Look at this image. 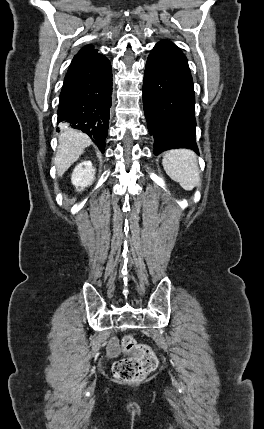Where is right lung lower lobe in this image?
<instances>
[{
    "label": "right lung lower lobe",
    "instance_id": "98d812e1",
    "mask_svg": "<svg viewBox=\"0 0 264 429\" xmlns=\"http://www.w3.org/2000/svg\"><path fill=\"white\" fill-rule=\"evenodd\" d=\"M111 95V64L96 50L71 63L60 93L57 122L82 130L104 152Z\"/></svg>",
    "mask_w": 264,
    "mask_h": 429
}]
</instances>
